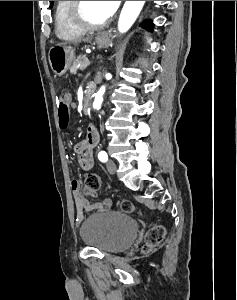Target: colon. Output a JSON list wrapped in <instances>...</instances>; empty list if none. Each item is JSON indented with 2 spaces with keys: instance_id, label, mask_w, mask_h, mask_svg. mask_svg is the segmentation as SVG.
<instances>
[{
  "instance_id": "colon-1",
  "label": "colon",
  "mask_w": 237,
  "mask_h": 300,
  "mask_svg": "<svg viewBox=\"0 0 237 300\" xmlns=\"http://www.w3.org/2000/svg\"><path fill=\"white\" fill-rule=\"evenodd\" d=\"M63 96V95H62ZM58 116H59V125L61 129H67L70 123V110L69 104L64 99L60 100L59 107H58ZM100 177L96 174H88L84 180L83 186V194L85 196H92L94 195L100 187ZM121 209L126 213H134L136 212L135 205L128 201L124 200L121 203ZM166 234L165 228L161 225L153 226L146 235V250H150L151 248L159 245L162 240L164 239Z\"/></svg>"
}]
</instances>
